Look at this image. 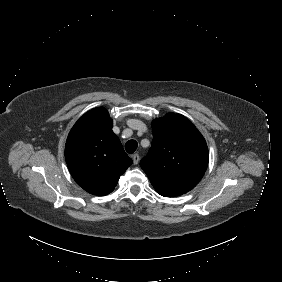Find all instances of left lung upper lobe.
Returning <instances> with one entry per match:
<instances>
[{
  "instance_id": "obj_1",
  "label": "left lung upper lobe",
  "mask_w": 282,
  "mask_h": 282,
  "mask_svg": "<svg viewBox=\"0 0 282 282\" xmlns=\"http://www.w3.org/2000/svg\"><path fill=\"white\" fill-rule=\"evenodd\" d=\"M152 146L140 166L155 189H193L203 177L209 153L206 141L183 115L168 113L152 123Z\"/></svg>"
}]
</instances>
